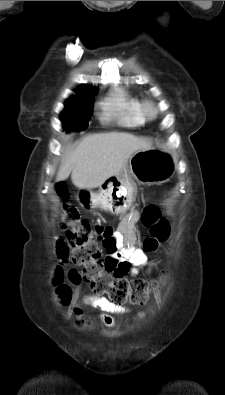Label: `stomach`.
Masks as SVG:
<instances>
[{"instance_id":"1","label":"stomach","mask_w":225,"mask_h":395,"mask_svg":"<svg viewBox=\"0 0 225 395\" xmlns=\"http://www.w3.org/2000/svg\"><path fill=\"white\" fill-rule=\"evenodd\" d=\"M174 171L168 154L158 149L139 150L126 162L123 172L105 180L97 193L81 189L78 201L84 207H100L121 214L132 204L135 181L140 184L163 183Z\"/></svg>"}]
</instances>
